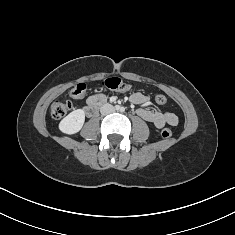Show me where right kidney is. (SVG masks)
I'll return each instance as SVG.
<instances>
[{"mask_svg": "<svg viewBox=\"0 0 235 235\" xmlns=\"http://www.w3.org/2000/svg\"><path fill=\"white\" fill-rule=\"evenodd\" d=\"M85 121V112L77 109L68 114L59 123V129L65 134H75L81 130Z\"/></svg>", "mask_w": 235, "mask_h": 235, "instance_id": "ca27d5eb", "label": "right kidney"}]
</instances>
